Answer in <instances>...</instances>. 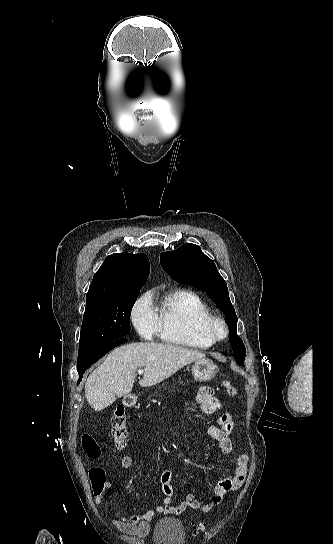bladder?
I'll use <instances>...</instances> for the list:
<instances>
[{"instance_id":"31cf9c89","label":"bladder","mask_w":333,"mask_h":544,"mask_svg":"<svg viewBox=\"0 0 333 544\" xmlns=\"http://www.w3.org/2000/svg\"><path fill=\"white\" fill-rule=\"evenodd\" d=\"M186 539L182 523L175 518H163L157 522L154 532V544H184Z\"/></svg>"}]
</instances>
